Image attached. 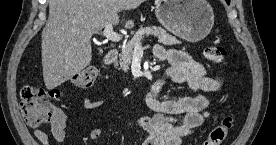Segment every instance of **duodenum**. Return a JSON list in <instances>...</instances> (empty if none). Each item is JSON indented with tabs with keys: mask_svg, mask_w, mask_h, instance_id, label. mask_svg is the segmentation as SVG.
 Here are the masks:
<instances>
[{
	"mask_svg": "<svg viewBox=\"0 0 276 145\" xmlns=\"http://www.w3.org/2000/svg\"><path fill=\"white\" fill-rule=\"evenodd\" d=\"M118 57V51L116 49H110L104 56V62L106 64L113 63Z\"/></svg>",
	"mask_w": 276,
	"mask_h": 145,
	"instance_id": "410a0bca",
	"label": "duodenum"
}]
</instances>
